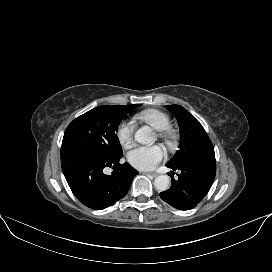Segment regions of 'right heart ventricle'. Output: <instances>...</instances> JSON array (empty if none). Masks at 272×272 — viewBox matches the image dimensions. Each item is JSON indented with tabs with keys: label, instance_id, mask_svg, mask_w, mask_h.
<instances>
[{
	"label": "right heart ventricle",
	"instance_id": "e07e8e85",
	"mask_svg": "<svg viewBox=\"0 0 272 272\" xmlns=\"http://www.w3.org/2000/svg\"><path fill=\"white\" fill-rule=\"evenodd\" d=\"M136 118L149 124L158 131L167 129L171 125L169 115L158 109L143 110L136 115Z\"/></svg>",
	"mask_w": 272,
	"mask_h": 272
}]
</instances>
